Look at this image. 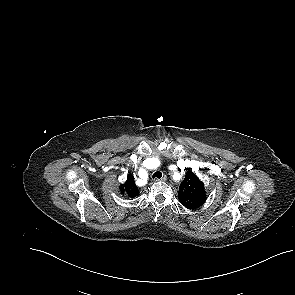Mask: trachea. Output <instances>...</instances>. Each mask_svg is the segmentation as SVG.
Here are the masks:
<instances>
[{"mask_svg":"<svg viewBox=\"0 0 295 295\" xmlns=\"http://www.w3.org/2000/svg\"><path fill=\"white\" fill-rule=\"evenodd\" d=\"M152 177H153V178H158V179H160V178L162 177V173L159 172V171H157V172H155V173L153 174Z\"/></svg>","mask_w":295,"mask_h":295,"instance_id":"1","label":"trachea"}]
</instances>
